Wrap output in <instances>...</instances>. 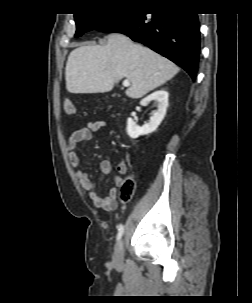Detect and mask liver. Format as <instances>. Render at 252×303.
Wrapping results in <instances>:
<instances>
[{"instance_id": "obj_1", "label": "liver", "mask_w": 252, "mask_h": 303, "mask_svg": "<svg viewBox=\"0 0 252 303\" xmlns=\"http://www.w3.org/2000/svg\"><path fill=\"white\" fill-rule=\"evenodd\" d=\"M179 72L170 60L133 43L122 34L107 36L105 45H83L68 56L66 88L70 93H105L123 78L131 82L126 95L138 99Z\"/></svg>"}]
</instances>
